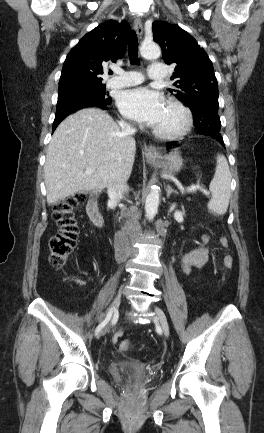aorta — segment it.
<instances>
[{"mask_svg": "<svg viewBox=\"0 0 264 433\" xmlns=\"http://www.w3.org/2000/svg\"><path fill=\"white\" fill-rule=\"evenodd\" d=\"M141 55L147 59H157L161 55L160 47L156 43H143L140 48ZM159 206V188L152 187L146 197L145 211L149 220H152L158 212Z\"/></svg>", "mask_w": 264, "mask_h": 433, "instance_id": "aorta-1", "label": "aorta"}]
</instances>
